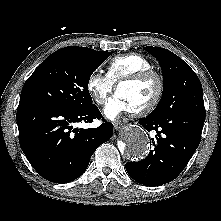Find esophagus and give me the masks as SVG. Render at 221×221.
Returning <instances> with one entry per match:
<instances>
[{"instance_id": "obj_1", "label": "esophagus", "mask_w": 221, "mask_h": 221, "mask_svg": "<svg viewBox=\"0 0 221 221\" xmlns=\"http://www.w3.org/2000/svg\"><path fill=\"white\" fill-rule=\"evenodd\" d=\"M114 128L116 130L120 129L121 127H123V123L121 121H115L113 122Z\"/></svg>"}]
</instances>
